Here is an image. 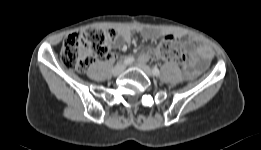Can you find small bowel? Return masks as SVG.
Here are the masks:
<instances>
[{
	"mask_svg": "<svg viewBox=\"0 0 261 150\" xmlns=\"http://www.w3.org/2000/svg\"><path fill=\"white\" fill-rule=\"evenodd\" d=\"M132 30L133 28L131 27H121L117 29L113 42L114 46L119 49H124L126 44L132 40ZM136 30L139 31L145 39H153L157 36V32L153 29L136 28ZM187 48L191 50L195 56L190 67L187 69V74L188 76H194L200 69L206 66L211 57V52L205 45L199 43H195L193 47L188 46ZM105 57L107 60L112 61L115 59L116 54L114 51H107ZM148 58L149 55L144 53L139 57V60L146 61Z\"/></svg>",
	"mask_w": 261,
	"mask_h": 150,
	"instance_id": "small-bowel-1",
	"label": "small bowel"
}]
</instances>
